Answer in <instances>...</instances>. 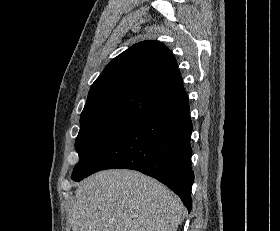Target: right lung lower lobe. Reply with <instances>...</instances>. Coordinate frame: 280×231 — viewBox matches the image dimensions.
Wrapping results in <instances>:
<instances>
[{
	"label": "right lung lower lobe",
	"instance_id": "1",
	"mask_svg": "<svg viewBox=\"0 0 280 231\" xmlns=\"http://www.w3.org/2000/svg\"><path fill=\"white\" fill-rule=\"evenodd\" d=\"M192 129L189 101L159 111L129 127L72 180L80 181L105 169L137 170L167 185L190 212Z\"/></svg>",
	"mask_w": 280,
	"mask_h": 231
}]
</instances>
